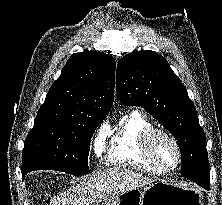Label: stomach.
<instances>
[{
	"label": "stomach",
	"mask_w": 222,
	"mask_h": 205,
	"mask_svg": "<svg viewBox=\"0 0 222 205\" xmlns=\"http://www.w3.org/2000/svg\"><path fill=\"white\" fill-rule=\"evenodd\" d=\"M202 198L201 190L196 187L177 186L159 180L143 190L125 191L96 205H203Z\"/></svg>",
	"instance_id": "stomach-1"
}]
</instances>
